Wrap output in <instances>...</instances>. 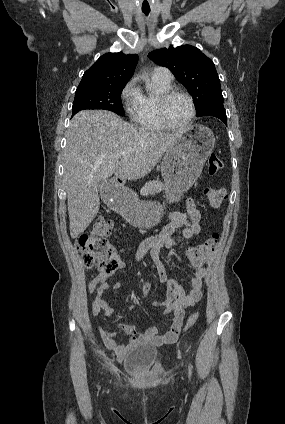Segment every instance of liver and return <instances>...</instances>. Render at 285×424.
<instances>
[{
    "label": "liver",
    "instance_id": "liver-1",
    "mask_svg": "<svg viewBox=\"0 0 285 424\" xmlns=\"http://www.w3.org/2000/svg\"><path fill=\"white\" fill-rule=\"evenodd\" d=\"M130 124L113 112L84 110L71 120L64 149L70 235L83 233L99 212L98 184L112 174L140 179L181 137ZM128 152L122 156V152Z\"/></svg>",
    "mask_w": 285,
    "mask_h": 424
}]
</instances>
